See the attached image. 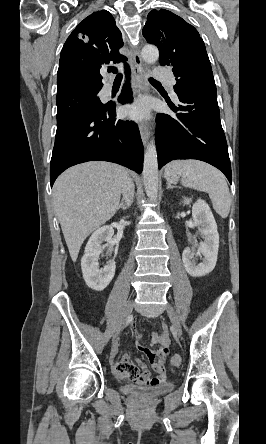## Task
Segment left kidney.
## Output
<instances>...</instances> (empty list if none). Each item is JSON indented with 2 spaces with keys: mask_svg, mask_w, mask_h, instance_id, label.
<instances>
[{
  "mask_svg": "<svg viewBox=\"0 0 266 444\" xmlns=\"http://www.w3.org/2000/svg\"><path fill=\"white\" fill-rule=\"evenodd\" d=\"M190 198H184V204H189ZM192 217L194 225L198 227L199 232L204 239L200 242L198 254L203 255L202 262L196 264L193 260L194 253L187 247L182 254V260L185 270L192 277H202L210 273L216 265L218 248H219V234L217 231V224L208 204L201 199H198L192 207Z\"/></svg>",
  "mask_w": 266,
  "mask_h": 444,
  "instance_id": "left-kidney-1",
  "label": "left kidney"
}]
</instances>
